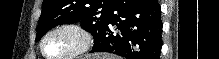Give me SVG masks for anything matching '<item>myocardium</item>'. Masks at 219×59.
Instances as JSON below:
<instances>
[{"label":"myocardium","instance_id":"1","mask_svg":"<svg viewBox=\"0 0 219 59\" xmlns=\"http://www.w3.org/2000/svg\"><path fill=\"white\" fill-rule=\"evenodd\" d=\"M63 30L71 31L77 34L78 37L80 38V44L73 52H71L68 55L62 57H51L45 52L44 49L45 42L50 35ZM92 45H93L92 35L85 27H83L82 25L76 22H65L51 28L43 35L40 42V51L43 57H45L46 59H74L87 53L91 49Z\"/></svg>","mask_w":219,"mask_h":59}]
</instances>
